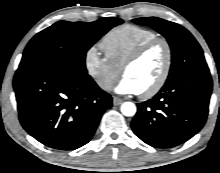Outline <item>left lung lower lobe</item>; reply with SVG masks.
Here are the masks:
<instances>
[{
    "label": "left lung lower lobe",
    "instance_id": "1",
    "mask_svg": "<svg viewBox=\"0 0 220 173\" xmlns=\"http://www.w3.org/2000/svg\"><path fill=\"white\" fill-rule=\"evenodd\" d=\"M211 92L210 76L185 78L164 85L153 99L137 103L138 111L131 127L152 147L181 145L204 126Z\"/></svg>",
    "mask_w": 220,
    "mask_h": 173
}]
</instances>
